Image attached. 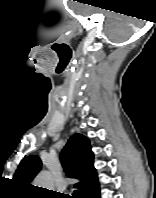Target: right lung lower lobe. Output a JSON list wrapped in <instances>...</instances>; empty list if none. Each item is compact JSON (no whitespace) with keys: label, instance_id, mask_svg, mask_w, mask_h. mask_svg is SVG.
I'll return each mask as SVG.
<instances>
[{"label":"right lung lower lobe","instance_id":"obj_1","mask_svg":"<svg viewBox=\"0 0 156 198\" xmlns=\"http://www.w3.org/2000/svg\"><path fill=\"white\" fill-rule=\"evenodd\" d=\"M88 198H100V189H98L96 192H94L91 196Z\"/></svg>","mask_w":156,"mask_h":198}]
</instances>
